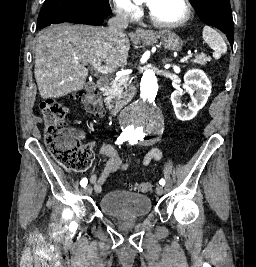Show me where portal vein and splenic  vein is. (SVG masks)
<instances>
[{
	"label": "portal vein and splenic vein",
	"instance_id": "1",
	"mask_svg": "<svg viewBox=\"0 0 256 267\" xmlns=\"http://www.w3.org/2000/svg\"><path fill=\"white\" fill-rule=\"evenodd\" d=\"M187 59L188 56L184 55L183 59L179 60V63L185 64ZM92 66L93 68H95V70H97V72H101V74H109V72H115V68H111V66H101L100 60H96V62H93Z\"/></svg>",
	"mask_w": 256,
	"mask_h": 267
}]
</instances>
